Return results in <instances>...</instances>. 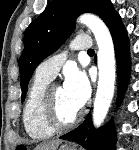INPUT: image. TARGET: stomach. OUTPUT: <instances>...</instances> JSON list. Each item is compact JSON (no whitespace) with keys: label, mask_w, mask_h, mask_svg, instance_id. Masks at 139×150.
I'll use <instances>...</instances> for the list:
<instances>
[{"label":"stomach","mask_w":139,"mask_h":150,"mask_svg":"<svg viewBox=\"0 0 139 150\" xmlns=\"http://www.w3.org/2000/svg\"><path fill=\"white\" fill-rule=\"evenodd\" d=\"M59 150H75V149L73 147L63 145V146L60 147Z\"/></svg>","instance_id":"stomach-1"}]
</instances>
